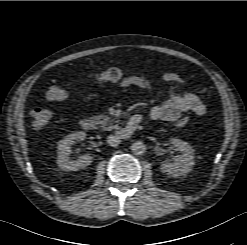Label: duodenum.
<instances>
[{"instance_id": "1", "label": "duodenum", "mask_w": 247, "mask_h": 245, "mask_svg": "<svg viewBox=\"0 0 247 245\" xmlns=\"http://www.w3.org/2000/svg\"><path fill=\"white\" fill-rule=\"evenodd\" d=\"M143 121H144V119L141 115H134V116L130 117L127 120V122L117 130V132H116L117 136L121 139L131 137L135 131L136 126L138 124L142 123ZM80 125H81L82 129H84L86 131H90L94 128V122L90 118H83L80 121Z\"/></svg>"}]
</instances>
